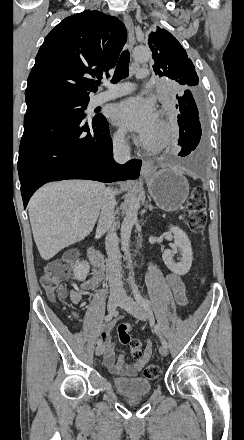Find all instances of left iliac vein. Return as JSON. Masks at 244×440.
<instances>
[{
	"label": "left iliac vein",
	"mask_w": 244,
	"mask_h": 440,
	"mask_svg": "<svg viewBox=\"0 0 244 440\" xmlns=\"http://www.w3.org/2000/svg\"><path fill=\"white\" fill-rule=\"evenodd\" d=\"M119 305L137 319L144 321L148 318L146 310L142 306H140L134 299L127 295L121 297ZM159 352L162 356L168 355V349L164 345L159 347Z\"/></svg>",
	"instance_id": "obj_1"
}]
</instances>
